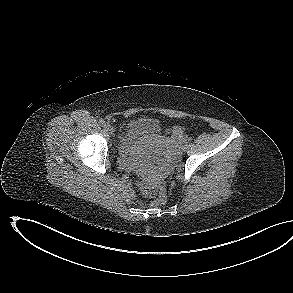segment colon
Masks as SVG:
<instances>
[{"instance_id": "colon-1", "label": "colon", "mask_w": 293, "mask_h": 293, "mask_svg": "<svg viewBox=\"0 0 293 293\" xmlns=\"http://www.w3.org/2000/svg\"><path fill=\"white\" fill-rule=\"evenodd\" d=\"M183 132L182 127L173 128V134L178 136ZM143 193L147 197H156V199L152 202L153 205L158 206L162 205L167 200L166 189L162 185L158 186H147L143 189Z\"/></svg>"}]
</instances>
